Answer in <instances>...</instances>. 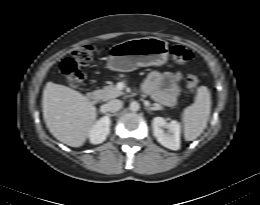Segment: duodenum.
Here are the masks:
<instances>
[{
  "mask_svg": "<svg viewBox=\"0 0 260 205\" xmlns=\"http://www.w3.org/2000/svg\"><path fill=\"white\" fill-rule=\"evenodd\" d=\"M86 100L92 104V105H96L99 101V95L97 92L95 91H89L87 94H86Z\"/></svg>",
  "mask_w": 260,
  "mask_h": 205,
  "instance_id": "duodenum-1",
  "label": "duodenum"
}]
</instances>
